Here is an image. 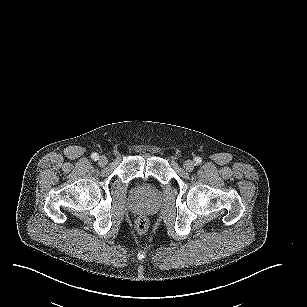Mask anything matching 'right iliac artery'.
<instances>
[{"mask_svg": "<svg viewBox=\"0 0 307 307\" xmlns=\"http://www.w3.org/2000/svg\"><path fill=\"white\" fill-rule=\"evenodd\" d=\"M91 158L94 160V161H97L99 159V156L97 153H93Z\"/></svg>", "mask_w": 307, "mask_h": 307, "instance_id": "obj_1", "label": "right iliac artery"}]
</instances>
